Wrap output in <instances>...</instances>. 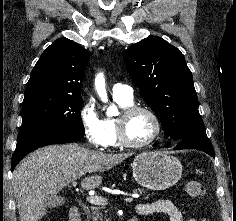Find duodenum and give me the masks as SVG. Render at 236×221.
<instances>
[{
    "label": "duodenum",
    "instance_id": "410a0bca",
    "mask_svg": "<svg viewBox=\"0 0 236 221\" xmlns=\"http://www.w3.org/2000/svg\"><path fill=\"white\" fill-rule=\"evenodd\" d=\"M69 221H82L81 208L78 205H73L69 211ZM129 221H138L137 217H132Z\"/></svg>",
    "mask_w": 236,
    "mask_h": 221
}]
</instances>
